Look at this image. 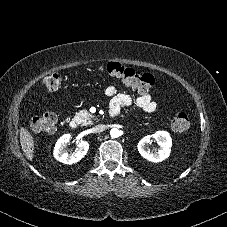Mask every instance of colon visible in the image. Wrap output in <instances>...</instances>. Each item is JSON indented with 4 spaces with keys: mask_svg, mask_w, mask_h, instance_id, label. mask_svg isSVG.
Returning a JSON list of instances; mask_svg holds the SVG:
<instances>
[{
    "mask_svg": "<svg viewBox=\"0 0 227 227\" xmlns=\"http://www.w3.org/2000/svg\"><path fill=\"white\" fill-rule=\"evenodd\" d=\"M101 70L140 93L147 92L154 84V78L151 74L139 73L117 62H109L102 66ZM62 81L63 77L60 73H52L43 79L42 84L48 92H55L60 88ZM57 121V115L53 112H48L41 116L32 117L30 119V126L37 133H50L55 129ZM189 124L188 115L184 112H179L174 116L171 125L174 131L184 132L189 128Z\"/></svg>",
    "mask_w": 227,
    "mask_h": 227,
    "instance_id": "1",
    "label": "colon"
}]
</instances>
